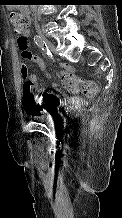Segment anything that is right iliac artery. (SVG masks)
Instances as JSON below:
<instances>
[{"label":"right iliac artery","instance_id":"right-iliac-artery-1","mask_svg":"<svg viewBox=\"0 0 122 218\" xmlns=\"http://www.w3.org/2000/svg\"><path fill=\"white\" fill-rule=\"evenodd\" d=\"M34 41L36 43V45L41 48V50L47 55L49 56L50 55V50L49 48L47 47L45 41L38 35L34 36Z\"/></svg>","mask_w":122,"mask_h":218}]
</instances>
